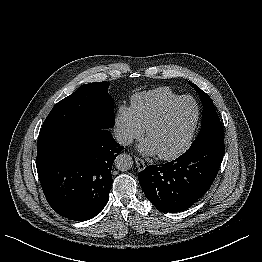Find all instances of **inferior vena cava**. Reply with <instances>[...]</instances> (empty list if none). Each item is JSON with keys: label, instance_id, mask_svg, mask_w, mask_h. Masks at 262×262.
Returning <instances> with one entry per match:
<instances>
[{"label": "inferior vena cava", "instance_id": "inferior-vena-cava-1", "mask_svg": "<svg viewBox=\"0 0 262 262\" xmlns=\"http://www.w3.org/2000/svg\"><path fill=\"white\" fill-rule=\"evenodd\" d=\"M115 140L123 146L130 145L133 141L129 134L121 131H115Z\"/></svg>", "mask_w": 262, "mask_h": 262}]
</instances>
